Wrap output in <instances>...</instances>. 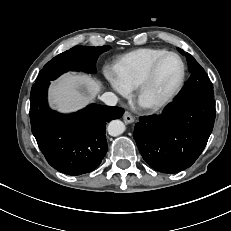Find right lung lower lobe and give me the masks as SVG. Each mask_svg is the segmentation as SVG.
Wrapping results in <instances>:
<instances>
[{
	"instance_id": "98d812e1",
	"label": "right lung lower lobe",
	"mask_w": 231,
	"mask_h": 231,
	"mask_svg": "<svg viewBox=\"0 0 231 231\" xmlns=\"http://www.w3.org/2000/svg\"><path fill=\"white\" fill-rule=\"evenodd\" d=\"M49 83H35L30 95L32 133L48 163L68 175L99 166L107 152L106 123L119 119L120 107L91 104L73 114H60L47 104Z\"/></svg>"
}]
</instances>
